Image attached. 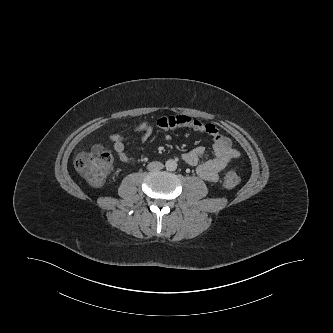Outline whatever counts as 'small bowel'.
I'll use <instances>...</instances> for the list:
<instances>
[{"label": "small bowel", "instance_id": "small-bowel-1", "mask_svg": "<svg viewBox=\"0 0 333 333\" xmlns=\"http://www.w3.org/2000/svg\"><path fill=\"white\" fill-rule=\"evenodd\" d=\"M157 126L165 131L184 127L204 133L212 138L214 142L213 158L200 162L206 155V150L202 146L195 147L182 156L188 165L197 166L198 176L205 181L216 182L219 179V174L229 166L230 162L239 157V151L232 147L231 141L212 124L203 123L186 115H178L160 117L157 120ZM136 132L140 136V142L145 143L151 137L153 129L150 124L143 122L136 128ZM166 138L169 139L170 136L167 135ZM110 139L113 142L117 158L124 163L134 164L135 160L129 156L126 150V138L115 133L111 135Z\"/></svg>", "mask_w": 333, "mask_h": 333}]
</instances>
